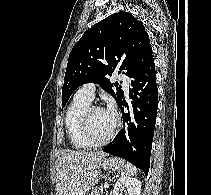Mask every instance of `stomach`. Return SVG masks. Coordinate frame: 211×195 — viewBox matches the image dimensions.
<instances>
[{
	"label": "stomach",
	"instance_id": "1",
	"mask_svg": "<svg viewBox=\"0 0 211 195\" xmlns=\"http://www.w3.org/2000/svg\"><path fill=\"white\" fill-rule=\"evenodd\" d=\"M101 167L104 170L108 171H120L123 170L125 167V161L118 157H109V158H103L97 165V167L91 172L89 175L87 181L92 188L100 179L101 176ZM82 195H85L83 193Z\"/></svg>",
	"mask_w": 211,
	"mask_h": 195
}]
</instances>
